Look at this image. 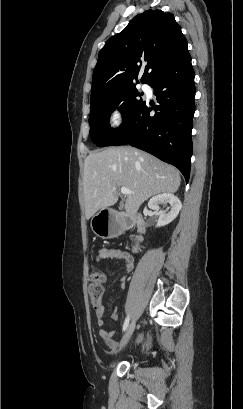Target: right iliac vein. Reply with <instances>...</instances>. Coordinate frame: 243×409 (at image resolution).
Returning <instances> with one entry per match:
<instances>
[{
	"instance_id": "63e3f726",
	"label": "right iliac vein",
	"mask_w": 243,
	"mask_h": 409,
	"mask_svg": "<svg viewBox=\"0 0 243 409\" xmlns=\"http://www.w3.org/2000/svg\"><path fill=\"white\" fill-rule=\"evenodd\" d=\"M135 325H136V322H135V320H133L130 323V325L127 327V330L124 333V335H123V337H122V339L120 341L119 349H121L122 347H124L128 343V341L130 340V338H131V336H132V334H133V332L135 330Z\"/></svg>"
}]
</instances>
